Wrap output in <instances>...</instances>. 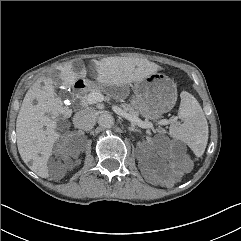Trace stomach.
<instances>
[{"label":"stomach","instance_id":"1","mask_svg":"<svg viewBox=\"0 0 241 241\" xmlns=\"http://www.w3.org/2000/svg\"><path fill=\"white\" fill-rule=\"evenodd\" d=\"M93 86V82L86 80ZM104 89L114 98H119L124 86L105 85ZM134 94L131 96V106L147 120L156 121L169 112L177 101V87L165 74L154 73L133 85Z\"/></svg>","mask_w":241,"mask_h":241}]
</instances>
